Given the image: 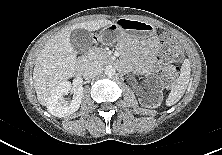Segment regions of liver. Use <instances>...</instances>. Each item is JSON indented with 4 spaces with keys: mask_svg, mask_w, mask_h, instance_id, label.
I'll use <instances>...</instances> for the list:
<instances>
[{
    "mask_svg": "<svg viewBox=\"0 0 222 155\" xmlns=\"http://www.w3.org/2000/svg\"><path fill=\"white\" fill-rule=\"evenodd\" d=\"M111 24L107 19L81 22L63 29L44 45L33 71L35 91L41 105H47L51 91L60 83L72 78L78 69L77 52L70 42L72 31H96Z\"/></svg>",
    "mask_w": 222,
    "mask_h": 155,
    "instance_id": "obj_1",
    "label": "liver"
}]
</instances>
